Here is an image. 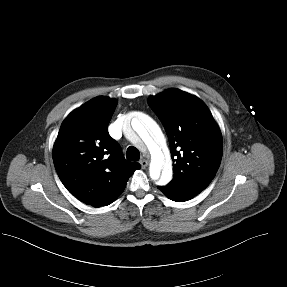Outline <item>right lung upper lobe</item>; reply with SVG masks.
Instances as JSON below:
<instances>
[{
    "label": "right lung upper lobe",
    "mask_w": 287,
    "mask_h": 287,
    "mask_svg": "<svg viewBox=\"0 0 287 287\" xmlns=\"http://www.w3.org/2000/svg\"><path fill=\"white\" fill-rule=\"evenodd\" d=\"M117 100L96 97L63 121L53 147V162L66 189L93 207L111 204L123 192L139 163L125 160L107 127Z\"/></svg>",
    "instance_id": "obj_1"
}]
</instances>
